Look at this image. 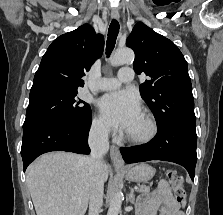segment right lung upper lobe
Wrapping results in <instances>:
<instances>
[{
    "instance_id": "obj_1",
    "label": "right lung upper lobe",
    "mask_w": 223,
    "mask_h": 215,
    "mask_svg": "<svg viewBox=\"0 0 223 215\" xmlns=\"http://www.w3.org/2000/svg\"><path fill=\"white\" fill-rule=\"evenodd\" d=\"M104 48V37L84 24L56 38L43 55L30 93L45 90L77 91L81 79Z\"/></svg>"
}]
</instances>
